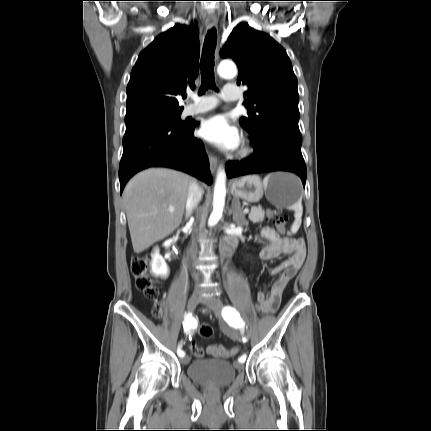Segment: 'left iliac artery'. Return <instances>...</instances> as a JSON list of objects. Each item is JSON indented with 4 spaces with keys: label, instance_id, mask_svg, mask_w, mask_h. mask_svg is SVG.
Listing matches in <instances>:
<instances>
[{
    "label": "left iliac artery",
    "instance_id": "1",
    "mask_svg": "<svg viewBox=\"0 0 431 431\" xmlns=\"http://www.w3.org/2000/svg\"><path fill=\"white\" fill-rule=\"evenodd\" d=\"M222 316L223 318L231 325L237 326V327H243L245 324L243 320L240 317V314L236 311L235 308L231 306H225L222 310ZM246 360V355H242L239 358V361L241 363H244Z\"/></svg>",
    "mask_w": 431,
    "mask_h": 431
}]
</instances>
